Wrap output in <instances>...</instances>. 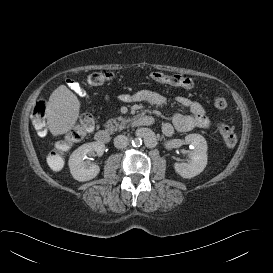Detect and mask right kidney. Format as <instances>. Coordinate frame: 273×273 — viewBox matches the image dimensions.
<instances>
[{
	"instance_id": "1",
	"label": "right kidney",
	"mask_w": 273,
	"mask_h": 273,
	"mask_svg": "<svg viewBox=\"0 0 273 273\" xmlns=\"http://www.w3.org/2000/svg\"><path fill=\"white\" fill-rule=\"evenodd\" d=\"M105 145L102 142L86 143L78 147L69 158V168L73 178L77 181L84 182L95 178L100 168L98 165H88L85 161L86 155L96 152L98 156H102Z\"/></svg>"
}]
</instances>
